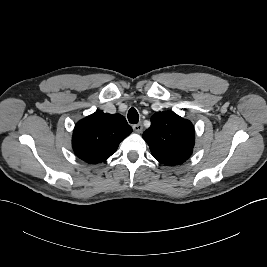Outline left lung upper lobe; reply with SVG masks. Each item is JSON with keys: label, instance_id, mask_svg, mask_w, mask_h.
<instances>
[{"label": "left lung upper lobe", "instance_id": "obj_1", "mask_svg": "<svg viewBox=\"0 0 267 267\" xmlns=\"http://www.w3.org/2000/svg\"><path fill=\"white\" fill-rule=\"evenodd\" d=\"M151 153L168 166L185 162L194 147V127L174 112H157L151 117V126L143 133Z\"/></svg>", "mask_w": 267, "mask_h": 267}]
</instances>
